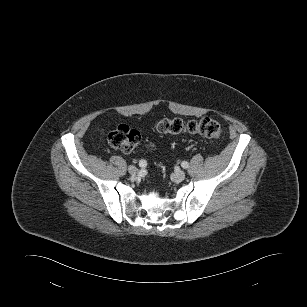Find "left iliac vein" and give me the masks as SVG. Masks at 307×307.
I'll return each instance as SVG.
<instances>
[{"mask_svg":"<svg viewBox=\"0 0 307 307\" xmlns=\"http://www.w3.org/2000/svg\"><path fill=\"white\" fill-rule=\"evenodd\" d=\"M185 177H186V174L182 170H177L173 175L174 180L177 181V182L183 181L185 179Z\"/></svg>","mask_w":307,"mask_h":307,"instance_id":"left-iliac-vein-1","label":"left iliac vein"}]
</instances>
